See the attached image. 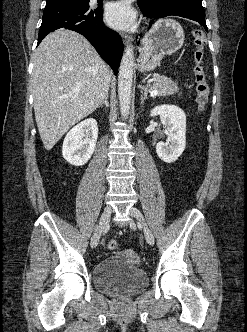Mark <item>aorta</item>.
Segmentation results:
<instances>
[{
	"instance_id": "762f6f07",
	"label": "aorta",
	"mask_w": 247,
	"mask_h": 332,
	"mask_svg": "<svg viewBox=\"0 0 247 332\" xmlns=\"http://www.w3.org/2000/svg\"><path fill=\"white\" fill-rule=\"evenodd\" d=\"M134 51L127 46L123 54L118 75V97L121 115L124 119L129 116L131 92L133 82Z\"/></svg>"
}]
</instances>
